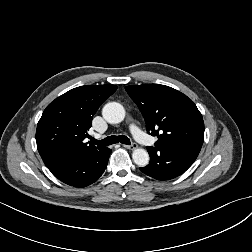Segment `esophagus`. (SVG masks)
Wrapping results in <instances>:
<instances>
[{"label":"esophagus","instance_id":"esophagus-1","mask_svg":"<svg viewBox=\"0 0 252 252\" xmlns=\"http://www.w3.org/2000/svg\"><path fill=\"white\" fill-rule=\"evenodd\" d=\"M123 147H125L126 149H129V150H134L138 147V145L136 143H132L131 145H123Z\"/></svg>","mask_w":252,"mask_h":252}]
</instances>
